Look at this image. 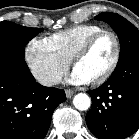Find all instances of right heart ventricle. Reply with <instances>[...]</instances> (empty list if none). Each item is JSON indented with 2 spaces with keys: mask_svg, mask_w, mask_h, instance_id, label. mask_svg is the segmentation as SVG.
<instances>
[{
  "mask_svg": "<svg viewBox=\"0 0 139 139\" xmlns=\"http://www.w3.org/2000/svg\"><path fill=\"white\" fill-rule=\"evenodd\" d=\"M101 30L103 28L95 24H81L54 33L46 39L61 56L71 61L77 49Z\"/></svg>",
  "mask_w": 139,
  "mask_h": 139,
  "instance_id": "e07e8e85",
  "label": "right heart ventricle"
}]
</instances>
